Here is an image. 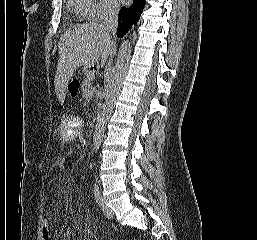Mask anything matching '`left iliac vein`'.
<instances>
[{
  "instance_id": "obj_1",
  "label": "left iliac vein",
  "mask_w": 257,
  "mask_h": 240,
  "mask_svg": "<svg viewBox=\"0 0 257 240\" xmlns=\"http://www.w3.org/2000/svg\"><path fill=\"white\" fill-rule=\"evenodd\" d=\"M101 208L106 218L112 219L114 217V213L112 209L109 208L103 200H102Z\"/></svg>"
}]
</instances>
